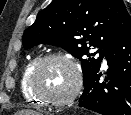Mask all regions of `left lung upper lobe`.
<instances>
[{"mask_svg":"<svg viewBox=\"0 0 131 115\" xmlns=\"http://www.w3.org/2000/svg\"><path fill=\"white\" fill-rule=\"evenodd\" d=\"M131 27L123 0H53L23 34V46L62 47L81 61L84 86L100 68L111 44ZM90 47H100L89 54ZM100 53L99 58H91ZM87 55L88 59L82 57Z\"/></svg>","mask_w":131,"mask_h":115,"instance_id":"1","label":"left lung upper lobe"}]
</instances>
